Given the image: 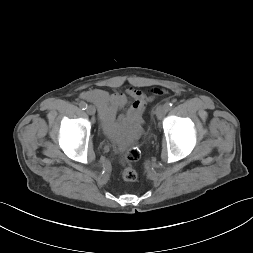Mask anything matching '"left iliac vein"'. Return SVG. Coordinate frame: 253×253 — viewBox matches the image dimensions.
Returning <instances> with one entry per match:
<instances>
[{
  "instance_id": "obj_1",
  "label": "left iliac vein",
  "mask_w": 253,
  "mask_h": 253,
  "mask_svg": "<svg viewBox=\"0 0 253 253\" xmlns=\"http://www.w3.org/2000/svg\"><path fill=\"white\" fill-rule=\"evenodd\" d=\"M168 111L166 104L165 105H158L156 108V116L158 119H162L166 112Z\"/></svg>"
}]
</instances>
